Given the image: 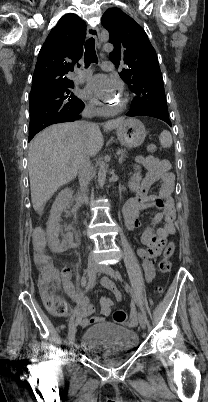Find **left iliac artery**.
I'll return each instance as SVG.
<instances>
[{
	"label": "left iliac artery",
	"instance_id": "left-iliac-artery-1",
	"mask_svg": "<svg viewBox=\"0 0 208 402\" xmlns=\"http://www.w3.org/2000/svg\"><path fill=\"white\" fill-rule=\"evenodd\" d=\"M116 273H117L118 278L122 280V276H121L120 272L117 271ZM125 288H126V290H128V291L130 292V294H131V296H132V298H133V301L136 302L135 296H134V294H133V290L131 289V287L129 286V284L126 283V282H125Z\"/></svg>",
	"mask_w": 208,
	"mask_h": 402
}]
</instances>
